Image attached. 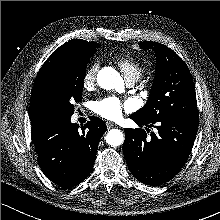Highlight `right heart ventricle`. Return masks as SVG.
I'll return each instance as SVG.
<instances>
[{
  "label": "right heart ventricle",
  "instance_id": "obj_1",
  "mask_svg": "<svg viewBox=\"0 0 220 220\" xmlns=\"http://www.w3.org/2000/svg\"><path fill=\"white\" fill-rule=\"evenodd\" d=\"M115 60L126 78L137 79L142 74V67L136 63L129 55L118 54L115 56Z\"/></svg>",
  "mask_w": 220,
  "mask_h": 220
}]
</instances>
